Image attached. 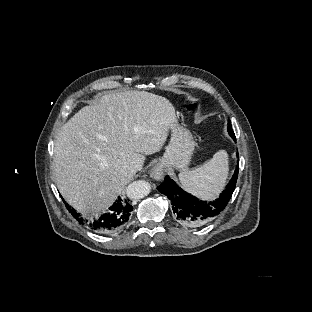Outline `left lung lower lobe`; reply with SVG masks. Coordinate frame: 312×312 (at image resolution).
Instances as JSON below:
<instances>
[{"instance_id": "0a47b994", "label": "left lung lower lobe", "mask_w": 312, "mask_h": 312, "mask_svg": "<svg viewBox=\"0 0 312 312\" xmlns=\"http://www.w3.org/2000/svg\"><path fill=\"white\" fill-rule=\"evenodd\" d=\"M237 177L238 166L226 189L213 202L201 201L186 193L168 176L158 190L171 201V215L177 222L191 229H200L215 219L226 207L235 189Z\"/></svg>"}]
</instances>
